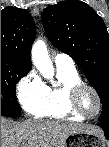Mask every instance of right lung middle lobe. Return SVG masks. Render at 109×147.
Returning a JSON list of instances; mask_svg holds the SVG:
<instances>
[{"label": "right lung middle lobe", "instance_id": "right-lung-middle-lobe-1", "mask_svg": "<svg viewBox=\"0 0 109 147\" xmlns=\"http://www.w3.org/2000/svg\"><path fill=\"white\" fill-rule=\"evenodd\" d=\"M31 69L1 57V113L6 117L20 116L21 107L15 97L16 83Z\"/></svg>", "mask_w": 109, "mask_h": 147}]
</instances>
